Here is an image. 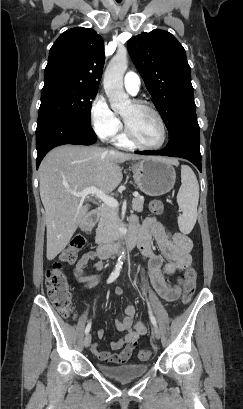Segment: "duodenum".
<instances>
[{
	"instance_id": "duodenum-1",
	"label": "duodenum",
	"mask_w": 243,
	"mask_h": 409,
	"mask_svg": "<svg viewBox=\"0 0 243 409\" xmlns=\"http://www.w3.org/2000/svg\"><path fill=\"white\" fill-rule=\"evenodd\" d=\"M97 220V214L92 213L86 220L87 225H92ZM119 241L112 244H102L97 248V254L101 259L120 254L122 252L130 251L134 248L139 240L140 235L136 231L127 230L119 232Z\"/></svg>"
}]
</instances>
